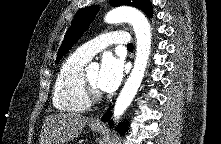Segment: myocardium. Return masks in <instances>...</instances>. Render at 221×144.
Segmentation results:
<instances>
[{
    "label": "myocardium",
    "instance_id": "myocardium-1",
    "mask_svg": "<svg viewBox=\"0 0 221 144\" xmlns=\"http://www.w3.org/2000/svg\"><path fill=\"white\" fill-rule=\"evenodd\" d=\"M82 83H83V89H84V94L88 101L91 102H96L100 98V92L97 90L96 86H94L88 79L86 72L83 71L82 75Z\"/></svg>",
    "mask_w": 221,
    "mask_h": 144
}]
</instances>
